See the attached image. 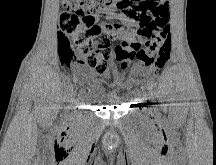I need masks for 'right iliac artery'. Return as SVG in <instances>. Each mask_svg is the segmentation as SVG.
I'll use <instances>...</instances> for the list:
<instances>
[{"label":"right iliac artery","mask_w":216,"mask_h":165,"mask_svg":"<svg viewBox=\"0 0 216 165\" xmlns=\"http://www.w3.org/2000/svg\"><path fill=\"white\" fill-rule=\"evenodd\" d=\"M73 100H74V97H73V96H70L69 99H66V102H65L64 104H65L66 106H67L68 104H72Z\"/></svg>","instance_id":"right-iliac-artery-1"}]
</instances>
